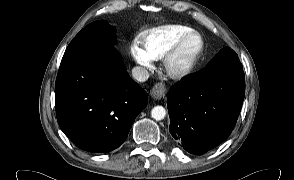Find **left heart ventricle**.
<instances>
[{
	"label": "left heart ventricle",
	"mask_w": 294,
	"mask_h": 180,
	"mask_svg": "<svg viewBox=\"0 0 294 180\" xmlns=\"http://www.w3.org/2000/svg\"><path fill=\"white\" fill-rule=\"evenodd\" d=\"M199 46V40L197 38L190 39L182 48L179 56L176 59V65L180 66L185 64L189 58L195 53Z\"/></svg>",
	"instance_id": "1"
}]
</instances>
